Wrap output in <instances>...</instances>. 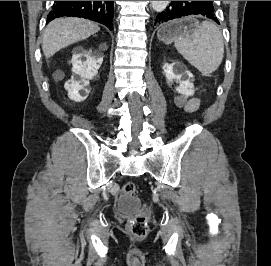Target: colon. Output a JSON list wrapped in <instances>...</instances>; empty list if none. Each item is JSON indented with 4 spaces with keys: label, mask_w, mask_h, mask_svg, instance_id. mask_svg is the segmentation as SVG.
<instances>
[{
    "label": "colon",
    "mask_w": 271,
    "mask_h": 266,
    "mask_svg": "<svg viewBox=\"0 0 271 266\" xmlns=\"http://www.w3.org/2000/svg\"><path fill=\"white\" fill-rule=\"evenodd\" d=\"M122 193L125 196H135L137 193L134 182H127L122 187ZM128 229L130 233L137 238H143L148 233L147 217L144 213L138 214L134 219L129 221Z\"/></svg>",
    "instance_id": "colon-1"
}]
</instances>
